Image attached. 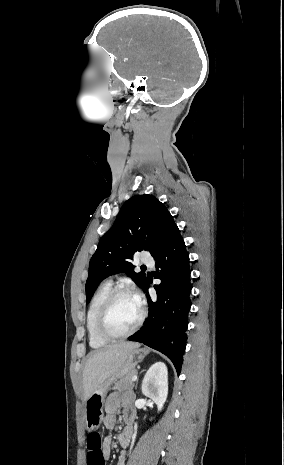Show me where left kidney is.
I'll return each instance as SVG.
<instances>
[{"mask_svg":"<svg viewBox=\"0 0 284 465\" xmlns=\"http://www.w3.org/2000/svg\"><path fill=\"white\" fill-rule=\"evenodd\" d=\"M142 393L156 403L158 411L163 409L168 395V371L165 363H154L150 367L143 379Z\"/></svg>","mask_w":284,"mask_h":465,"instance_id":"1","label":"left kidney"}]
</instances>
